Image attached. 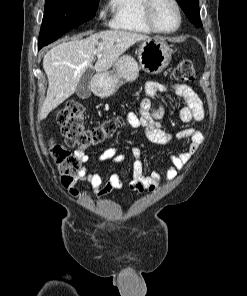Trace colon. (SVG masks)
Instances as JSON below:
<instances>
[{"mask_svg":"<svg viewBox=\"0 0 247 296\" xmlns=\"http://www.w3.org/2000/svg\"><path fill=\"white\" fill-rule=\"evenodd\" d=\"M173 78L177 82H194L196 72L192 62L180 61L174 70ZM57 122L67 146L76 147L79 151L94 147L109 138L121 124L120 120H107L100 125L88 127L85 123V109L78 102L67 104L58 113ZM50 150L62 174L63 184H72L80 168L78 157L59 144L52 145Z\"/></svg>","mask_w":247,"mask_h":296,"instance_id":"5ec220e1","label":"colon"}]
</instances>
